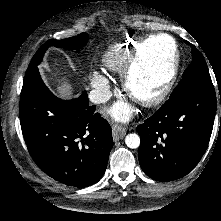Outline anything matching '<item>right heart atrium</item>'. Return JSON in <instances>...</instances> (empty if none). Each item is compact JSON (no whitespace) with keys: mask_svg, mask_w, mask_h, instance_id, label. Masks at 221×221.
Returning a JSON list of instances; mask_svg holds the SVG:
<instances>
[{"mask_svg":"<svg viewBox=\"0 0 221 221\" xmlns=\"http://www.w3.org/2000/svg\"><path fill=\"white\" fill-rule=\"evenodd\" d=\"M90 80L93 85L98 86L106 82V77L102 73L93 71Z\"/></svg>","mask_w":221,"mask_h":221,"instance_id":"1","label":"right heart atrium"}]
</instances>
